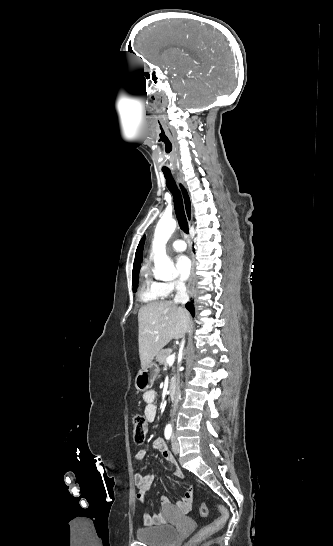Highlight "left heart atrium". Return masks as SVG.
<instances>
[{"label":"left heart atrium","mask_w":333,"mask_h":546,"mask_svg":"<svg viewBox=\"0 0 333 546\" xmlns=\"http://www.w3.org/2000/svg\"><path fill=\"white\" fill-rule=\"evenodd\" d=\"M175 267L179 277L185 280L191 273L192 263L186 255H179L176 258Z\"/></svg>","instance_id":"1"}]
</instances>
